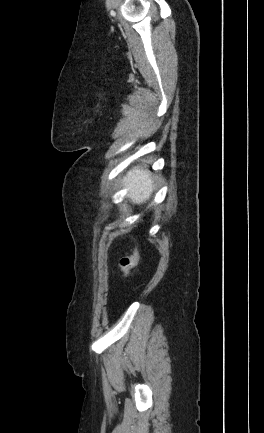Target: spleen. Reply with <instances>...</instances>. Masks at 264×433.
Listing matches in <instances>:
<instances>
[{
    "label": "spleen",
    "mask_w": 264,
    "mask_h": 433,
    "mask_svg": "<svg viewBox=\"0 0 264 433\" xmlns=\"http://www.w3.org/2000/svg\"><path fill=\"white\" fill-rule=\"evenodd\" d=\"M123 186L128 188V197L133 203H143L151 196L154 180L151 175L139 167H134L126 174Z\"/></svg>",
    "instance_id": "1"
}]
</instances>
